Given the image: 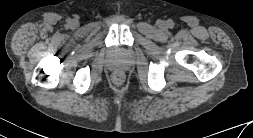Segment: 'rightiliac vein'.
<instances>
[{"label": "right iliac vein", "instance_id": "obj_1", "mask_svg": "<svg viewBox=\"0 0 253 138\" xmlns=\"http://www.w3.org/2000/svg\"><path fill=\"white\" fill-rule=\"evenodd\" d=\"M76 23H77L76 21H73V22H72L73 25H76Z\"/></svg>", "mask_w": 253, "mask_h": 138}]
</instances>
